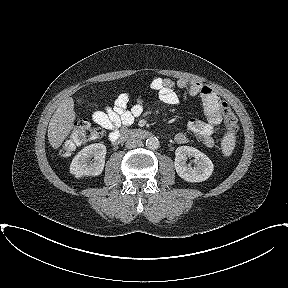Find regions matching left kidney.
I'll return each mask as SVG.
<instances>
[{
	"mask_svg": "<svg viewBox=\"0 0 288 288\" xmlns=\"http://www.w3.org/2000/svg\"><path fill=\"white\" fill-rule=\"evenodd\" d=\"M175 156V170L185 181L202 182L212 175L214 168L212 161L198 149L180 146L176 149ZM187 157L195 158L194 167L186 163Z\"/></svg>",
	"mask_w": 288,
	"mask_h": 288,
	"instance_id": "1",
	"label": "left kidney"
}]
</instances>
